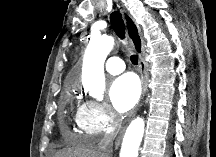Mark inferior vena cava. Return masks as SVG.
Listing matches in <instances>:
<instances>
[{
  "instance_id": "obj_1",
  "label": "inferior vena cava",
  "mask_w": 216,
  "mask_h": 157,
  "mask_svg": "<svg viewBox=\"0 0 216 157\" xmlns=\"http://www.w3.org/2000/svg\"><path fill=\"white\" fill-rule=\"evenodd\" d=\"M114 134H106L98 143L97 150L100 157H109L112 152Z\"/></svg>"
}]
</instances>
